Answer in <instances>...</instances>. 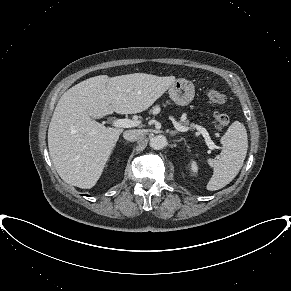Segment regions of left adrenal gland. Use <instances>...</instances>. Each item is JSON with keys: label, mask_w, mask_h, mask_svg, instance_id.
Returning a JSON list of instances; mask_svg holds the SVG:
<instances>
[{"label": "left adrenal gland", "mask_w": 291, "mask_h": 291, "mask_svg": "<svg viewBox=\"0 0 291 291\" xmlns=\"http://www.w3.org/2000/svg\"><path fill=\"white\" fill-rule=\"evenodd\" d=\"M179 132L178 131H170L169 132V134L171 135V136H174V135H176V134H178Z\"/></svg>", "instance_id": "obj_1"}]
</instances>
